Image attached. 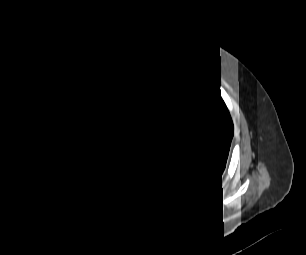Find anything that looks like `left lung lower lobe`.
Returning a JSON list of instances; mask_svg holds the SVG:
<instances>
[{
    "instance_id": "1",
    "label": "left lung lower lobe",
    "mask_w": 306,
    "mask_h": 255,
    "mask_svg": "<svg viewBox=\"0 0 306 255\" xmlns=\"http://www.w3.org/2000/svg\"><path fill=\"white\" fill-rule=\"evenodd\" d=\"M183 185L173 192L165 193L166 205L175 210L181 209L186 214L207 209L222 191V177L206 168L179 172Z\"/></svg>"
}]
</instances>
